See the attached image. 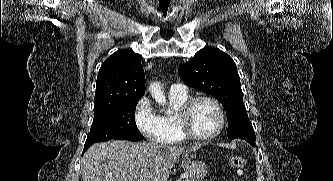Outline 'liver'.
<instances>
[{"mask_svg":"<svg viewBox=\"0 0 333 181\" xmlns=\"http://www.w3.org/2000/svg\"><path fill=\"white\" fill-rule=\"evenodd\" d=\"M198 148L125 140L96 143L81 159L82 180L167 181L180 155Z\"/></svg>","mask_w":333,"mask_h":181,"instance_id":"obj_1","label":"liver"}]
</instances>
